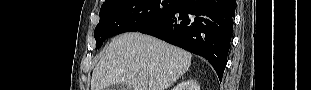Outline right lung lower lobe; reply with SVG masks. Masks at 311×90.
Masks as SVG:
<instances>
[{
	"label": "right lung lower lobe",
	"instance_id": "right-lung-lower-lobe-1",
	"mask_svg": "<svg viewBox=\"0 0 311 90\" xmlns=\"http://www.w3.org/2000/svg\"><path fill=\"white\" fill-rule=\"evenodd\" d=\"M235 0H179L175 8L138 32L205 57L222 80L233 31Z\"/></svg>",
	"mask_w": 311,
	"mask_h": 90
}]
</instances>
